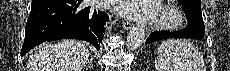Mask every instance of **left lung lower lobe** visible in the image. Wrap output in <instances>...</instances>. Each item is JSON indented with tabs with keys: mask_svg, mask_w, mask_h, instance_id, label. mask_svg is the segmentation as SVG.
<instances>
[{
	"mask_svg": "<svg viewBox=\"0 0 230 71\" xmlns=\"http://www.w3.org/2000/svg\"><path fill=\"white\" fill-rule=\"evenodd\" d=\"M183 9L189 20L188 27L179 32H153L147 38L146 43H153L166 38H194L201 40L205 33L201 8L193 5H186Z\"/></svg>",
	"mask_w": 230,
	"mask_h": 71,
	"instance_id": "left-lung-lower-lobe-1",
	"label": "left lung lower lobe"
}]
</instances>
